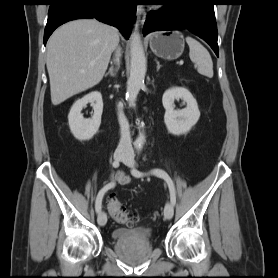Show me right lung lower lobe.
<instances>
[{
    "mask_svg": "<svg viewBox=\"0 0 278 278\" xmlns=\"http://www.w3.org/2000/svg\"><path fill=\"white\" fill-rule=\"evenodd\" d=\"M135 12L136 4L133 0H51L44 44L57 27L81 18H96L113 25L128 38L136 18Z\"/></svg>",
    "mask_w": 278,
    "mask_h": 278,
    "instance_id": "obj_1",
    "label": "right lung lower lobe"
}]
</instances>
